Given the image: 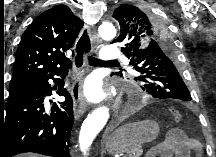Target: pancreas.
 I'll use <instances>...</instances> for the list:
<instances>
[{
  "instance_id": "pancreas-1",
  "label": "pancreas",
  "mask_w": 216,
  "mask_h": 157,
  "mask_svg": "<svg viewBox=\"0 0 216 157\" xmlns=\"http://www.w3.org/2000/svg\"><path fill=\"white\" fill-rule=\"evenodd\" d=\"M142 152V149L138 147L128 152L127 157H140L142 155Z\"/></svg>"
}]
</instances>
